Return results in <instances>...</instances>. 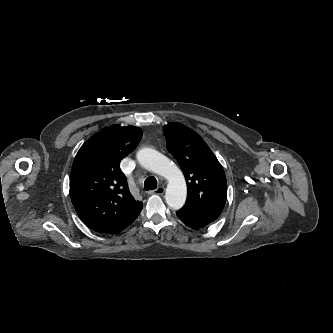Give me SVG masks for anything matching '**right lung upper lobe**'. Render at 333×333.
Instances as JSON below:
<instances>
[{
	"instance_id": "obj_1",
	"label": "right lung upper lobe",
	"mask_w": 333,
	"mask_h": 333,
	"mask_svg": "<svg viewBox=\"0 0 333 333\" xmlns=\"http://www.w3.org/2000/svg\"><path fill=\"white\" fill-rule=\"evenodd\" d=\"M142 138L139 127L112 125L93 135L75 156L70 175V197L84 224L94 231L118 234L142 210L130 194L120 161Z\"/></svg>"
}]
</instances>
